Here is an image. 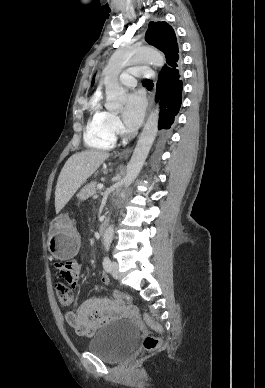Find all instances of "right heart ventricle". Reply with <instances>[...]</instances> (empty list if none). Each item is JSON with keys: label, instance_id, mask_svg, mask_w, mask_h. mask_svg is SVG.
I'll use <instances>...</instances> for the list:
<instances>
[{"label": "right heart ventricle", "instance_id": "1", "mask_svg": "<svg viewBox=\"0 0 265 388\" xmlns=\"http://www.w3.org/2000/svg\"><path fill=\"white\" fill-rule=\"evenodd\" d=\"M105 96L103 91L94 95L91 101V114L85 131V141L98 149H112L115 145V135L108 129V118L111 113L101 105V98Z\"/></svg>", "mask_w": 265, "mask_h": 388}]
</instances>
